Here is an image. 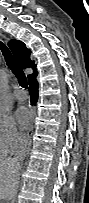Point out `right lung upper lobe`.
I'll list each match as a JSON object with an SVG mask.
<instances>
[{"mask_svg":"<svg viewBox=\"0 0 89 203\" xmlns=\"http://www.w3.org/2000/svg\"><path fill=\"white\" fill-rule=\"evenodd\" d=\"M8 46L22 68L31 67L33 69L34 72L32 75L28 76V80L35 76L37 74L36 65L34 64V61L30 59L31 51L26 48L25 44L22 41L13 39L9 41Z\"/></svg>","mask_w":89,"mask_h":203,"instance_id":"obj_1","label":"right lung upper lobe"}]
</instances>
